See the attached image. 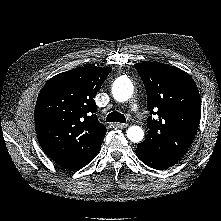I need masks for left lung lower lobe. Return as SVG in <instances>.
Segmentation results:
<instances>
[{
	"instance_id": "left-lung-lower-lobe-1",
	"label": "left lung lower lobe",
	"mask_w": 221,
	"mask_h": 221,
	"mask_svg": "<svg viewBox=\"0 0 221 221\" xmlns=\"http://www.w3.org/2000/svg\"><path fill=\"white\" fill-rule=\"evenodd\" d=\"M136 155L144 164L157 170L167 169L178 162V161L166 159L164 157H160L146 150L139 144L137 145Z\"/></svg>"
}]
</instances>
